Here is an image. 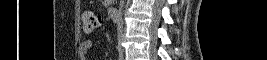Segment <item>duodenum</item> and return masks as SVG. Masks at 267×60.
Returning <instances> with one entry per match:
<instances>
[{
  "instance_id": "1",
  "label": "duodenum",
  "mask_w": 267,
  "mask_h": 60,
  "mask_svg": "<svg viewBox=\"0 0 267 60\" xmlns=\"http://www.w3.org/2000/svg\"><path fill=\"white\" fill-rule=\"evenodd\" d=\"M109 15H110L111 19H113V20L117 19L119 16L118 8L116 6L111 7L109 9Z\"/></svg>"
}]
</instances>
